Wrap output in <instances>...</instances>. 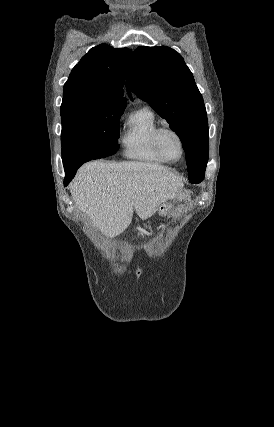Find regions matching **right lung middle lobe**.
Listing matches in <instances>:
<instances>
[{"label":"right lung middle lobe","instance_id":"right-lung-middle-lobe-1","mask_svg":"<svg viewBox=\"0 0 274 427\" xmlns=\"http://www.w3.org/2000/svg\"><path fill=\"white\" fill-rule=\"evenodd\" d=\"M126 105L81 103L61 108L64 166L113 155L119 148L118 121Z\"/></svg>","mask_w":274,"mask_h":427}]
</instances>
